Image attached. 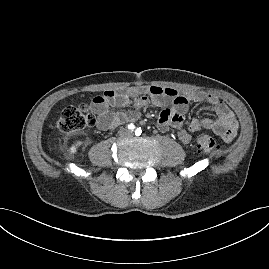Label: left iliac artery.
Returning <instances> with one entry per match:
<instances>
[{
  "label": "left iliac artery",
  "instance_id": "left-iliac-artery-1",
  "mask_svg": "<svg viewBox=\"0 0 269 269\" xmlns=\"http://www.w3.org/2000/svg\"><path fill=\"white\" fill-rule=\"evenodd\" d=\"M141 133H142V130H141L140 127L137 128V129L135 130V134H136L137 136H139Z\"/></svg>",
  "mask_w": 269,
  "mask_h": 269
}]
</instances>
